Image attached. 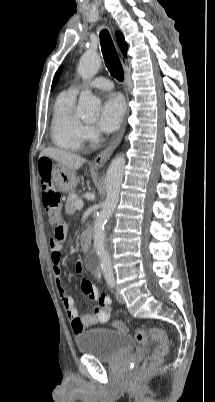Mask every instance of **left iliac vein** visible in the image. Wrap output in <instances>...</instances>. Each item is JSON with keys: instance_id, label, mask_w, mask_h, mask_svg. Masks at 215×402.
Instances as JSON below:
<instances>
[{"instance_id": "4c4485c4", "label": "left iliac vein", "mask_w": 215, "mask_h": 402, "mask_svg": "<svg viewBox=\"0 0 215 402\" xmlns=\"http://www.w3.org/2000/svg\"><path fill=\"white\" fill-rule=\"evenodd\" d=\"M115 297H116V300L119 303H124V297L122 296V294L118 290L115 293Z\"/></svg>"}]
</instances>
